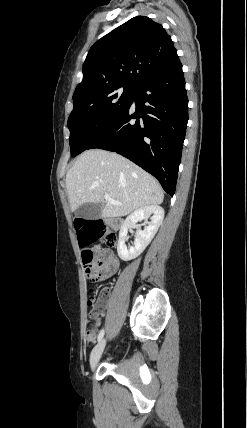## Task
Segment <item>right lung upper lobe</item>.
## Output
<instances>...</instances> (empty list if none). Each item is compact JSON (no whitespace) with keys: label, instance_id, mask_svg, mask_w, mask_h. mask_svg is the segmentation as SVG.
<instances>
[{"label":"right lung upper lobe","instance_id":"1","mask_svg":"<svg viewBox=\"0 0 247 428\" xmlns=\"http://www.w3.org/2000/svg\"><path fill=\"white\" fill-rule=\"evenodd\" d=\"M178 58L161 24L137 16L98 40L89 50L83 80L73 98L115 86L136 89Z\"/></svg>","mask_w":247,"mask_h":428}]
</instances>
